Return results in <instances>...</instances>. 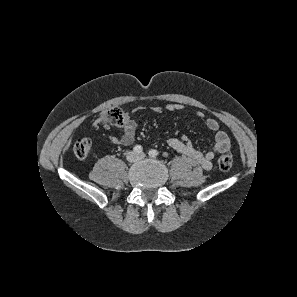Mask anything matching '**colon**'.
I'll use <instances>...</instances> for the list:
<instances>
[{
	"mask_svg": "<svg viewBox=\"0 0 297 297\" xmlns=\"http://www.w3.org/2000/svg\"><path fill=\"white\" fill-rule=\"evenodd\" d=\"M100 120L113 126H122L125 121V113L118 107H112L102 112ZM91 140L89 138L78 139L73 152L77 158H86L91 151ZM233 156L229 151L223 152L218 158V166L222 171H228L232 167Z\"/></svg>",
	"mask_w": 297,
	"mask_h": 297,
	"instance_id": "1",
	"label": "colon"
}]
</instances>
